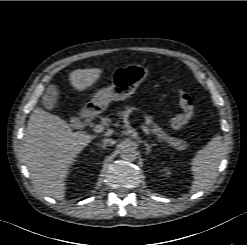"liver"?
Returning a JSON list of instances; mask_svg holds the SVG:
<instances>
[{
	"label": "liver",
	"instance_id": "6515ba94",
	"mask_svg": "<svg viewBox=\"0 0 247 245\" xmlns=\"http://www.w3.org/2000/svg\"><path fill=\"white\" fill-rule=\"evenodd\" d=\"M101 73L99 68L74 70L69 74L70 85L83 92L98 81ZM113 132L109 129L104 135L110 136ZM93 139L85 132H74L58 116L35 108L29 117L23 144L24 162L34 186L48 196L63 200L69 169Z\"/></svg>",
	"mask_w": 247,
	"mask_h": 245
}]
</instances>
